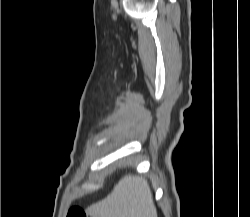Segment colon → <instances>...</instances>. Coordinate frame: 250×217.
<instances>
[{"instance_id":"1","label":"colon","mask_w":250,"mask_h":217,"mask_svg":"<svg viewBox=\"0 0 250 217\" xmlns=\"http://www.w3.org/2000/svg\"><path fill=\"white\" fill-rule=\"evenodd\" d=\"M67 217H87V214L80 207H72L69 209Z\"/></svg>"}]
</instances>
